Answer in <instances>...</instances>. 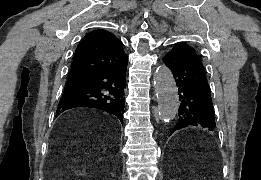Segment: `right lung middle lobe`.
I'll return each instance as SVG.
<instances>
[{
    "label": "right lung middle lobe",
    "instance_id": "dd1d6c3e",
    "mask_svg": "<svg viewBox=\"0 0 261 180\" xmlns=\"http://www.w3.org/2000/svg\"><path fill=\"white\" fill-rule=\"evenodd\" d=\"M79 86H80V83H66V84H65L64 93L73 91V90H75L76 88H78Z\"/></svg>",
    "mask_w": 261,
    "mask_h": 180
}]
</instances>
